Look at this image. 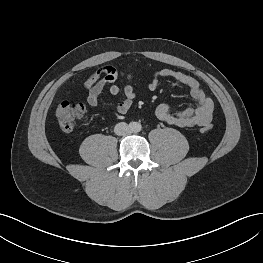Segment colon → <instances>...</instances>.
Returning <instances> with one entry per match:
<instances>
[{"label":"colon","instance_id":"obj_1","mask_svg":"<svg viewBox=\"0 0 263 263\" xmlns=\"http://www.w3.org/2000/svg\"><path fill=\"white\" fill-rule=\"evenodd\" d=\"M102 74L109 80H116L119 76H123V74L118 73L114 69L102 70ZM84 113L85 106L82 103L62 101L56 108V118L60 129L63 131L73 130ZM211 130L212 127L208 125L202 128L203 133L210 132Z\"/></svg>","mask_w":263,"mask_h":263}]
</instances>
